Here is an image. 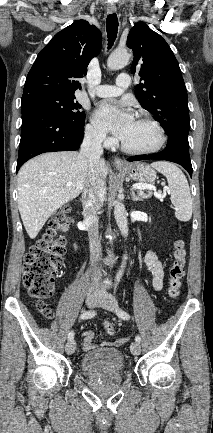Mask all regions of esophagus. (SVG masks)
Returning a JSON list of instances; mask_svg holds the SVG:
<instances>
[{
	"mask_svg": "<svg viewBox=\"0 0 213 433\" xmlns=\"http://www.w3.org/2000/svg\"><path fill=\"white\" fill-rule=\"evenodd\" d=\"M116 10H117V8H116L115 5H108L107 6V12L110 13V14L116 12ZM114 164L117 167H124L125 166L124 161L122 159H120V158H114Z\"/></svg>",
	"mask_w": 213,
	"mask_h": 433,
	"instance_id": "34e87169",
	"label": "esophagus"
}]
</instances>
